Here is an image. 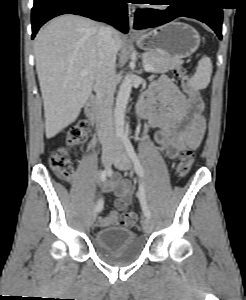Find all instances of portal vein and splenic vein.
Here are the masks:
<instances>
[{"instance_id": "18ae733b", "label": "portal vein and splenic vein", "mask_w": 246, "mask_h": 300, "mask_svg": "<svg viewBox=\"0 0 246 300\" xmlns=\"http://www.w3.org/2000/svg\"><path fill=\"white\" fill-rule=\"evenodd\" d=\"M144 69H145V71H147V72H153V71H154L153 66H151V65H149V64H145V65H144ZM81 75H86V72H85V71H82V72H81Z\"/></svg>"}]
</instances>
